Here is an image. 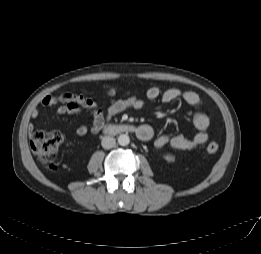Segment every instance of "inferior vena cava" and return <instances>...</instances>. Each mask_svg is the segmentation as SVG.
<instances>
[{"mask_svg":"<svg viewBox=\"0 0 261 254\" xmlns=\"http://www.w3.org/2000/svg\"><path fill=\"white\" fill-rule=\"evenodd\" d=\"M101 144L104 149H110L115 146L116 140L111 136H105L102 138Z\"/></svg>","mask_w":261,"mask_h":254,"instance_id":"1","label":"inferior vena cava"}]
</instances>
